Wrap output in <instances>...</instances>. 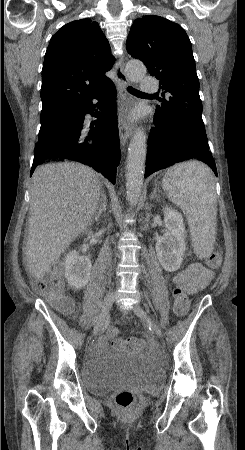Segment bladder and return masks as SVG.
<instances>
[{
    "label": "bladder",
    "mask_w": 245,
    "mask_h": 450,
    "mask_svg": "<svg viewBox=\"0 0 245 450\" xmlns=\"http://www.w3.org/2000/svg\"><path fill=\"white\" fill-rule=\"evenodd\" d=\"M163 376L138 355L99 356L81 364V381L93 395H106L121 387L152 391Z\"/></svg>",
    "instance_id": "obj_1"
}]
</instances>
